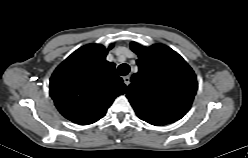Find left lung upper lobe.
<instances>
[{
    "label": "left lung upper lobe",
    "mask_w": 248,
    "mask_h": 158,
    "mask_svg": "<svg viewBox=\"0 0 248 158\" xmlns=\"http://www.w3.org/2000/svg\"><path fill=\"white\" fill-rule=\"evenodd\" d=\"M130 46L139 57V71L132 75L126 94L137 116L156 126L181 119L197 91L191 67L165 45L143 47L132 42Z\"/></svg>",
    "instance_id": "5c2ea615"
}]
</instances>
